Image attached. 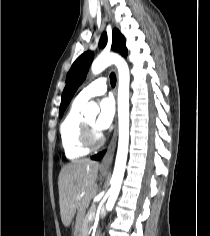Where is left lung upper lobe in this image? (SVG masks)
<instances>
[{
	"mask_svg": "<svg viewBox=\"0 0 210 236\" xmlns=\"http://www.w3.org/2000/svg\"><path fill=\"white\" fill-rule=\"evenodd\" d=\"M107 44V34L103 33L99 42V47H104ZM112 49L119 51L122 55L127 56V49L125 47V38L121 35L119 30L113 31ZM94 54L92 51H87L79 56L73 63L66 78V86L62 94V101L60 104L59 117L61 118L66 107L70 103L74 93L84 81L88 72L89 66L93 60Z\"/></svg>",
	"mask_w": 210,
	"mask_h": 236,
	"instance_id": "1",
	"label": "left lung upper lobe"
}]
</instances>
